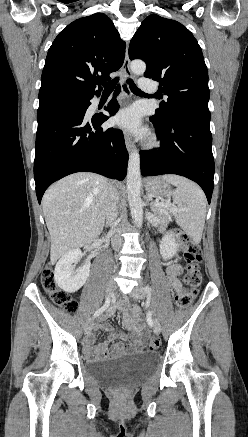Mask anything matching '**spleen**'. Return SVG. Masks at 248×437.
I'll use <instances>...</instances> for the list:
<instances>
[{"label": "spleen", "instance_id": "1", "mask_svg": "<svg viewBox=\"0 0 248 437\" xmlns=\"http://www.w3.org/2000/svg\"><path fill=\"white\" fill-rule=\"evenodd\" d=\"M162 178L176 186L171 196L178 206L177 224L193 238L195 243H199L206 217V198L202 189L182 176L167 174Z\"/></svg>", "mask_w": 248, "mask_h": 437}]
</instances>
